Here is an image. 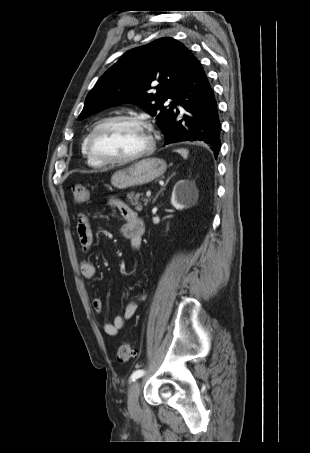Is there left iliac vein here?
<instances>
[{"mask_svg":"<svg viewBox=\"0 0 310 453\" xmlns=\"http://www.w3.org/2000/svg\"><path fill=\"white\" fill-rule=\"evenodd\" d=\"M140 383L134 382L128 393V411L131 415H137L140 412L139 404Z\"/></svg>","mask_w":310,"mask_h":453,"instance_id":"obj_1","label":"left iliac vein"}]
</instances>
